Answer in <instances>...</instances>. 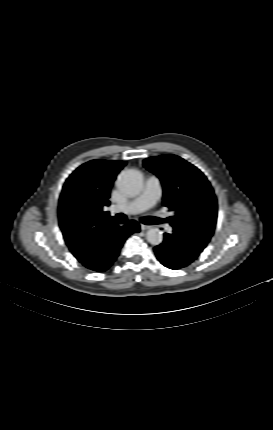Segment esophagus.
Segmentation results:
<instances>
[{
	"instance_id": "obj_1",
	"label": "esophagus",
	"mask_w": 273,
	"mask_h": 430,
	"mask_svg": "<svg viewBox=\"0 0 273 430\" xmlns=\"http://www.w3.org/2000/svg\"><path fill=\"white\" fill-rule=\"evenodd\" d=\"M151 228V226H149V225H145V224H141V230H148V229H150Z\"/></svg>"
}]
</instances>
